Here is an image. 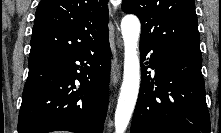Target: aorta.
Returning <instances> with one entry per match:
<instances>
[{
	"mask_svg": "<svg viewBox=\"0 0 221 133\" xmlns=\"http://www.w3.org/2000/svg\"><path fill=\"white\" fill-rule=\"evenodd\" d=\"M140 30L141 24L136 16L127 15L122 19L121 32L124 41V73L115 111V133H125L139 93L140 60L137 48Z\"/></svg>",
	"mask_w": 221,
	"mask_h": 133,
	"instance_id": "aorta-1",
	"label": "aorta"
}]
</instances>
